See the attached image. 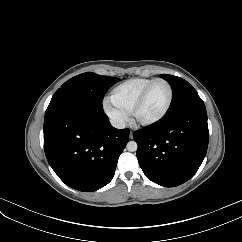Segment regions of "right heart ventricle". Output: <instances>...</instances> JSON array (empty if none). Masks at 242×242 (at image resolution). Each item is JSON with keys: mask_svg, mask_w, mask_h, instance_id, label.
<instances>
[{"mask_svg": "<svg viewBox=\"0 0 242 242\" xmlns=\"http://www.w3.org/2000/svg\"><path fill=\"white\" fill-rule=\"evenodd\" d=\"M153 80L152 78L137 77L120 83L111 91L112 103L126 113H130L140 93Z\"/></svg>", "mask_w": 242, "mask_h": 242, "instance_id": "obj_1", "label": "right heart ventricle"}]
</instances>
